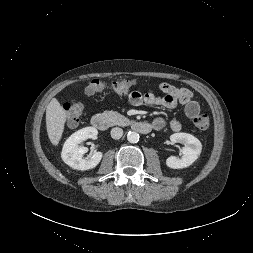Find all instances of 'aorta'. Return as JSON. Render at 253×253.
Wrapping results in <instances>:
<instances>
[{"instance_id":"1","label":"aorta","mask_w":253,"mask_h":253,"mask_svg":"<svg viewBox=\"0 0 253 253\" xmlns=\"http://www.w3.org/2000/svg\"><path fill=\"white\" fill-rule=\"evenodd\" d=\"M127 140L130 143H137L139 141V134L135 131H130L127 134Z\"/></svg>"}]
</instances>
